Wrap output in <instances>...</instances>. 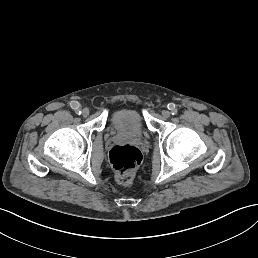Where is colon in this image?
Instances as JSON below:
<instances>
[{
	"label": "colon",
	"instance_id": "colon-1",
	"mask_svg": "<svg viewBox=\"0 0 258 258\" xmlns=\"http://www.w3.org/2000/svg\"><path fill=\"white\" fill-rule=\"evenodd\" d=\"M142 160L140 150L129 144L116 145L109 152V162L115 173L116 180L128 183Z\"/></svg>",
	"mask_w": 258,
	"mask_h": 258
}]
</instances>
